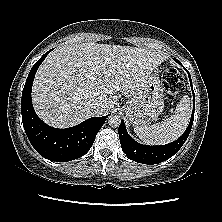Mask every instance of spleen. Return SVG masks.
Returning <instances> with one entry per match:
<instances>
[{"label": "spleen", "instance_id": "1", "mask_svg": "<svg viewBox=\"0 0 222 222\" xmlns=\"http://www.w3.org/2000/svg\"><path fill=\"white\" fill-rule=\"evenodd\" d=\"M190 116L191 100L189 96H183L170 118L150 126H135L134 131L146 144H167L181 136L189 123Z\"/></svg>", "mask_w": 222, "mask_h": 222}]
</instances>
